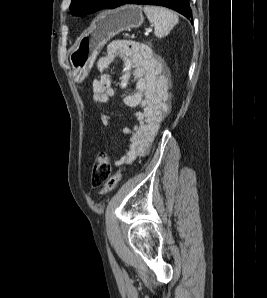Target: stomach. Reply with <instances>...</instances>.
Instances as JSON below:
<instances>
[{
  "mask_svg": "<svg viewBox=\"0 0 267 298\" xmlns=\"http://www.w3.org/2000/svg\"><path fill=\"white\" fill-rule=\"evenodd\" d=\"M144 21L142 8L124 5L102 14L90 33L83 37L70 54L72 73L76 81L85 79L102 47L115 34L138 28Z\"/></svg>",
  "mask_w": 267,
  "mask_h": 298,
  "instance_id": "1",
  "label": "stomach"
}]
</instances>
